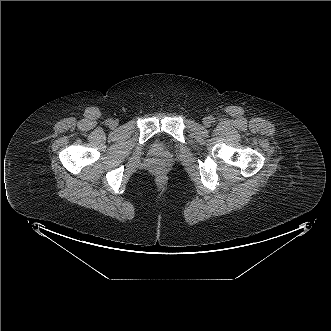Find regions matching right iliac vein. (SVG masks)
<instances>
[{
  "mask_svg": "<svg viewBox=\"0 0 331 331\" xmlns=\"http://www.w3.org/2000/svg\"><path fill=\"white\" fill-rule=\"evenodd\" d=\"M117 124H118V123H117L116 121H112L111 126H112V127H116Z\"/></svg>",
  "mask_w": 331,
  "mask_h": 331,
  "instance_id": "1",
  "label": "right iliac vein"
}]
</instances>
